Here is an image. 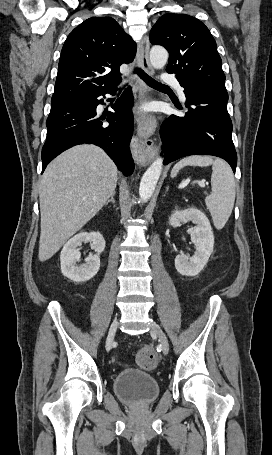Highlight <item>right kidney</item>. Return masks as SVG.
Wrapping results in <instances>:
<instances>
[{"label":"right kidney","mask_w":272,"mask_h":455,"mask_svg":"<svg viewBox=\"0 0 272 455\" xmlns=\"http://www.w3.org/2000/svg\"><path fill=\"white\" fill-rule=\"evenodd\" d=\"M82 242H91L96 254L85 258V264L77 266L81 253L78 248ZM105 249V240L99 232H81L71 238L60 254L61 271L64 276L74 282H85L93 278L100 268V254Z\"/></svg>","instance_id":"1"}]
</instances>
